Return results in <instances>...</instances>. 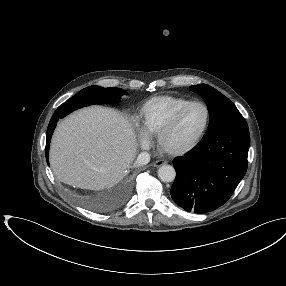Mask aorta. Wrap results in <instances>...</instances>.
<instances>
[{
    "instance_id": "obj_1",
    "label": "aorta",
    "mask_w": 286,
    "mask_h": 286,
    "mask_svg": "<svg viewBox=\"0 0 286 286\" xmlns=\"http://www.w3.org/2000/svg\"><path fill=\"white\" fill-rule=\"evenodd\" d=\"M176 176L175 169L171 165H163L158 169V177L163 182H172Z\"/></svg>"
}]
</instances>
